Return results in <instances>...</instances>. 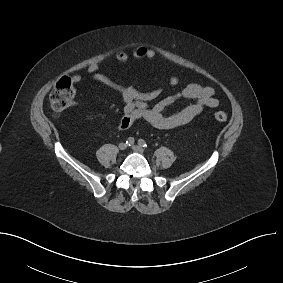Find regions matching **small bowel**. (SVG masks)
<instances>
[{"instance_id":"obj_1","label":"small bowel","mask_w":283,"mask_h":283,"mask_svg":"<svg viewBox=\"0 0 283 283\" xmlns=\"http://www.w3.org/2000/svg\"><path fill=\"white\" fill-rule=\"evenodd\" d=\"M130 57L152 62L157 61L156 51L144 46L134 47L130 53L121 50L115 54V59L122 64L127 63ZM87 72L91 75L92 79L116 91L122 97L124 113L118 124L120 131L128 130L137 120H144L158 129L180 127L192 121L205 108H215L219 105V100L214 97V89L210 86L197 83H191L181 91L169 95L154 105H150V102L162 92V86L152 91L141 93L132 86L116 83L110 77L100 72L97 64L89 65ZM72 80L75 83H79L82 81V76L75 74L72 76ZM178 82V77L174 75H167L165 77V84L168 86H176ZM181 98L190 99L193 102L174 114L165 115L163 113L168 106Z\"/></svg>"}]
</instances>
